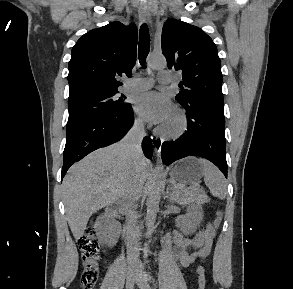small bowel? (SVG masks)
Masks as SVG:
<instances>
[{
    "mask_svg": "<svg viewBox=\"0 0 293 289\" xmlns=\"http://www.w3.org/2000/svg\"><path fill=\"white\" fill-rule=\"evenodd\" d=\"M214 237L215 228L211 224L200 228L192 238L184 236L179 231H174L175 246L172 255L177 265L185 268L194 264L196 260L205 262L211 252ZM196 273L198 277L201 274L205 275L204 268L202 266L197 267Z\"/></svg>",
    "mask_w": 293,
    "mask_h": 289,
    "instance_id": "small-bowel-1",
    "label": "small bowel"
}]
</instances>
